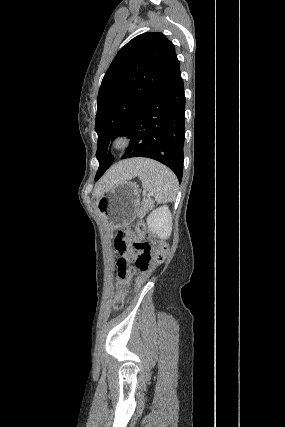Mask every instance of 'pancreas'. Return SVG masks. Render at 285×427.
I'll list each match as a JSON object with an SVG mask.
<instances>
[{"label": "pancreas", "instance_id": "pancreas-1", "mask_svg": "<svg viewBox=\"0 0 285 427\" xmlns=\"http://www.w3.org/2000/svg\"><path fill=\"white\" fill-rule=\"evenodd\" d=\"M152 206H153V201L152 200H150V199L145 200L144 203H143V205H142V207H141V209H140V211H139L138 216L140 218H142L146 214V212L149 209L152 208Z\"/></svg>", "mask_w": 285, "mask_h": 427}]
</instances>
